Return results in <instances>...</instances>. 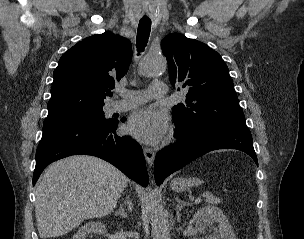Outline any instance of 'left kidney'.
<instances>
[{
  "mask_svg": "<svg viewBox=\"0 0 304 239\" xmlns=\"http://www.w3.org/2000/svg\"><path fill=\"white\" fill-rule=\"evenodd\" d=\"M213 223H218V227L207 239H237L227 217L219 208L207 206L194 214L193 224L200 233H204Z\"/></svg>",
  "mask_w": 304,
  "mask_h": 239,
  "instance_id": "left-kidney-1",
  "label": "left kidney"
}]
</instances>
